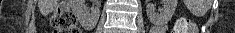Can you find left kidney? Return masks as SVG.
<instances>
[{
	"label": "left kidney",
	"mask_w": 235,
	"mask_h": 33,
	"mask_svg": "<svg viewBox=\"0 0 235 33\" xmlns=\"http://www.w3.org/2000/svg\"><path fill=\"white\" fill-rule=\"evenodd\" d=\"M178 0H162L163 7L156 11L155 5L147 4L146 13L151 23L155 25L166 24L173 16Z\"/></svg>",
	"instance_id": "obj_1"
}]
</instances>
